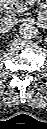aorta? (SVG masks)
Returning <instances> with one entry per match:
<instances>
[{"mask_svg":"<svg viewBox=\"0 0 47 129\" xmlns=\"http://www.w3.org/2000/svg\"><path fill=\"white\" fill-rule=\"evenodd\" d=\"M18 32L24 39H33L38 34V28L33 21L26 20L20 24Z\"/></svg>","mask_w":47,"mask_h":129,"instance_id":"762f6f07","label":"aorta"}]
</instances>
